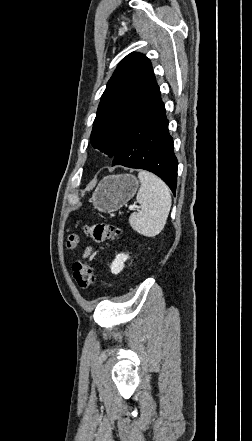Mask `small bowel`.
Here are the masks:
<instances>
[{
    "label": "small bowel",
    "mask_w": 252,
    "mask_h": 441,
    "mask_svg": "<svg viewBox=\"0 0 252 441\" xmlns=\"http://www.w3.org/2000/svg\"><path fill=\"white\" fill-rule=\"evenodd\" d=\"M92 251L91 247H87L83 253V257H88Z\"/></svg>",
    "instance_id": "1"
}]
</instances>
